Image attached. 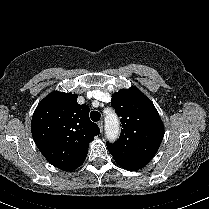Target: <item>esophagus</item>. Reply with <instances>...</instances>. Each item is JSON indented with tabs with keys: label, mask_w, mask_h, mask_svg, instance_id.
<instances>
[{
	"label": "esophagus",
	"mask_w": 209,
	"mask_h": 209,
	"mask_svg": "<svg viewBox=\"0 0 209 209\" xmlns=\"http://www.w3.org/2000/svg\"><path fill=\"white\" fill-rule=\"evenodd\" d=\"M98 126H99V128H100V131L102 132V131H103V128H104L103 121H99V122H98Z\"/></svg>",
	"instance_id": "34e87169"
}]
</instances>
